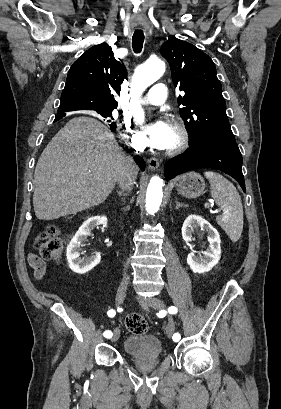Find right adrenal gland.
<instances>
[{
  "label": "right adrenal gland",
  "mask_w": 281,
  "mask_h": 409,
  "mask_svg": "<svg viewBox=\"0 0 281 409\" xmlns=\"http://www.w3.org/2000/svg\"><path fill=\"white\" fill-rule=\"evenodd\" d=\"M117 194H119V196H125L126 192H122V190H117Z\"/></svg>",
  "instance_id": "right-adrenal-gland-1"
}]
</instances>
